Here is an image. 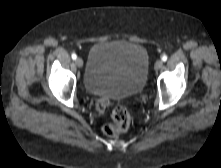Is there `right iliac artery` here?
<instances>
[{
  "label": "right iliac artery",
  "mask_w": 221,
  "mask_h": 168,
  "mask_svg": "<svg viewBox=\"0 0 221 168\" xmlns=\"http://www.w3.org/2000/svg\"><path fill=\"white\" fill-rule=\"evenodd\" d=\"M77 58L76 54H72V59L75 60Z\"/></svg>",
  "instance_id": "1"
}]
</instances>
